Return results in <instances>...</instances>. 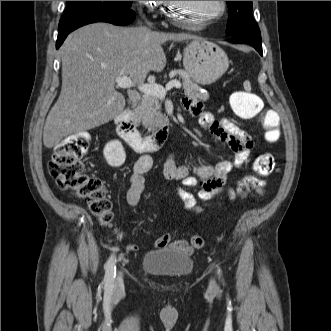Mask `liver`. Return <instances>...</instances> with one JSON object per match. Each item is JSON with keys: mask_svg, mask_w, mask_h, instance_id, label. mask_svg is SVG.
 <instances>
[{"mask_svg": "<svg viewBox=\"0 0 331 331\" xmlns=\"http://www.w3.org/2000/svg\"><path fill=\"white\" fill-rule=\"evenodd\" d=\"M192 39L197 37L107 23L69 34L60 48L62 89L45 122V147L116 118L124 110L125 98L115 90V79L127 76L138 86L144 84L150 71L161 72L166 65L162 43Z\"/></svg>", "mask_w": 331, "mask_h": 331, "instance_id": "6515ba94", "label": "liver"}]
</instances>
